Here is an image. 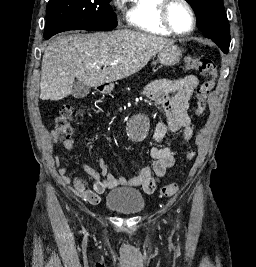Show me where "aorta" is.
Returning a JSON list of instances; mask_svg holds the SVG:
<instances>
[{"instance_id": "obj_1", "label": "aorta", "mask_w": 256, "mask_h": 267, "mask_svg": "<svg viewBox=\"0 0 256 267\" xmlns=\"http://www.w3.org/2000/svg\"><path fill=\"white\" fill-rule=\"evenodd\" d=\"M132 127H148V122H144V117H129ZM153 128H128L127 138H136V143H141V138H150Z\"/></svg>"}]
</instances>
